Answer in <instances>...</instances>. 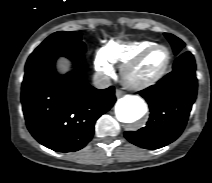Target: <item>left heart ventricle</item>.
<instances>
[{
	"mask_svg": "<svg viewBox=\"0 0 212 183\" xmlns=\"http://www.w3.org/2000/svg\"><path fill=\"white\" fill-rule=\"evenodd\" d=\"M168 59L167 50L157 48L149 53L146 58L131 71L129 78L134 82L144 81L158 73Z\"/></svg>",
	"mask_w": 212,
	"mask_h": 183,
	"instance_id": "left-heart-ventricle-1",
	"label": "left heart ventricle"
}]
</instances>
